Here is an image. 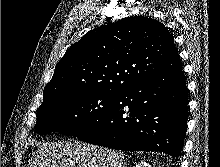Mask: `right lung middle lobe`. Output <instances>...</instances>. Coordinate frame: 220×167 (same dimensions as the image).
I'll return each instance as SVG.
<instances>
[{
  "mask_svg": "<svg viewBox=\"0 0 220 167\" xmlns=\"http://www.w3.org/2000/svg\"><path fill=\"white\" fill-rule=\"evenodd\" d=\"M116 91L77 89L44 101L37 109L35 130L77 137L95 126L112 107Z\"/></svg>",
  "mask_w": 220,
  "mask_h": 167,
  "instance_id": "dd1d6c3e",
  "label": "right lung middle lobe"
}]
</instances>
